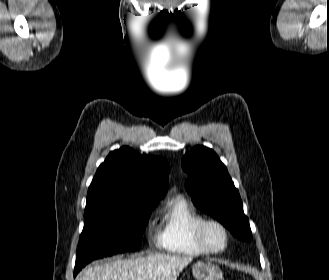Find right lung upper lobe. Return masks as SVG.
<instances>
[{
    "label": "right lung upper lobe",
    "instance_id": "obj_1",
    "mask_svg": "<svg viewBox=\"0 0 329 280\" xmlns=\"http://www.w3.org/2000/svg\"><path fill=\"white\" fill-rule=\"evenodd\" d=\"M170 166L162 157L140 155L129 147L110 152L90 184L85 213L117 199H161Z\"/></svg>",
    "mask_w": 329,
    "mask_h": 280
}]
</instances>
